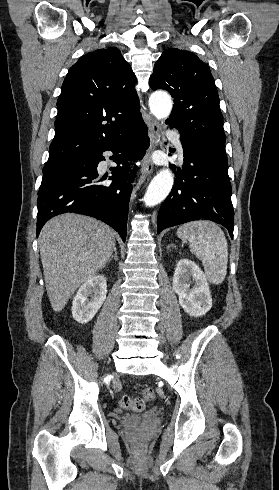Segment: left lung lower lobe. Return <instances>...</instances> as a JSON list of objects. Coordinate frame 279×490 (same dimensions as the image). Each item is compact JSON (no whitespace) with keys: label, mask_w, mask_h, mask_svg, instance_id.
Returning <instances> with one entry per match:
<instances>
[{"label":"left lung lower lobe","mask_w":279,"mask_h":490,"mask_svg":"<svg viewBox=\"0 0 279 490\" xmlns=\"http://www.w3.org/2000/svg\"><path fill=\"white\" fill-rule=\"evenodd\" d=\"M177 131L181 135L184 164L175 173V185L159 211L158 233L189 221L211 220L226 227L233 238L234 211L224 148Z\"/></svg>","instance_id":"0a47b994"}]
</instances>
